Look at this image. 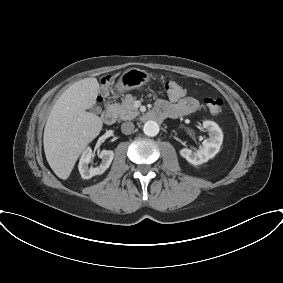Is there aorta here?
<instances>
[{
    "mask_svg": "<svg viewBox=\"0 0 283 283\" xmlns=\"http://www.w3.org/2000/svg\"><path fill=\"white\" fill-rule=\"evenodd\" d=\"M143 131L145 135L154 137L159 133V125L157 122L149 120L144 124Z\"/></svg>",
    "mask_w": 283,
    "mask_h": 283,
    "instance_id": "762f6f07",
    "label": "aorta"
}]
</instances>
